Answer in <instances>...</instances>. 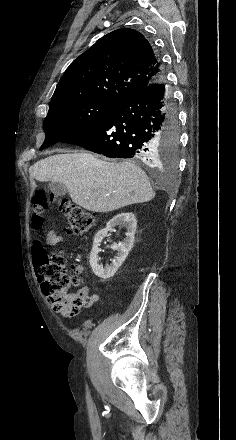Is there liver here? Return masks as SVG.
<instances>
[{
    "label": "liver",
    "instance_id": "liver-1",
    "mask_svg": "<svg viewBox=\"0 0 236 440\" xmlns=\"http://www.w3.org/2000/svg\"><path fill=\"white\" fill-rule=\"evenodd\" d=\"M40 182L63 183L74 203L92 212H110L155 197L149 178L130 162L113 163L91 153H65L41 159L29 168Z\"/></svg>",
    "mask_w": 236,
    "mask_h": 440
}]
</instances>
